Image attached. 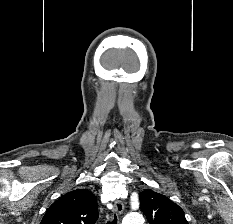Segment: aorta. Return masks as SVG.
I'll return each mask as SVG.
<instances>
[{
	"instance_id": "aorta-1",
	"label": "aorta",
	"mask_w": 233,
	"mask_h": 224,
	"mask_svg": "<svg viewBox=\"0 0 233 224\" xmlns=\"http://www.w3.org/2000/svg\"><path fill=\"white\" fill-rule=\"evenodd\" d=\"M144 219L141 214L137 212L129 213L123 219L122 224H143Z\"/></svg>"
}]
</instances>
